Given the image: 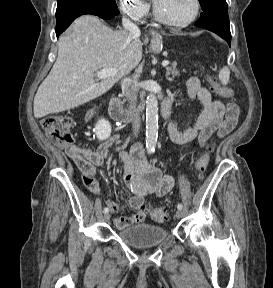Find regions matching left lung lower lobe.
I'll return each mask as SVG.
<instances>
[{
	"mask_svg": "<svg viewBox=\"0 0 273 288\" xmlns=\"http://www.w3.org/2000/svg\"><path fill=\"white\" fill-rule=\"evenodd\" d=\"M195 26L203 27L218 34L230 45L231 33L229 27L228 9L218 10L210 14L202 13Z\"/></svg>",
	"mask_w": 273,
	"mask_h": 288,
	"instance_id": "0a47b994",
	"label": "left lung lower lobe"
}]
</instances>
